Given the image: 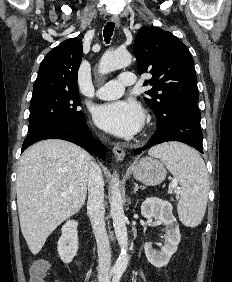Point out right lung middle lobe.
Returning <instances> with one entry per match:
<instances>
[{
	"instance_id": "right-lung-middle-lobe-1",
	"label": "right lung middle lobe",
	"mask_w": 232,
	"mask_h": 282,
	"mask_svg": "<svg viewBox=\"0 0 232 282\" xmlns=\"http://www.w3.org/2000/svg\"><path fill=\"white\" fill-rule=\"evenodd\" d=\"M80 104L78 91L43 90L33 92L30 102L28 132L37 131L62 121L84 122V114L79 110Z\"/></svg>"
}]
</instances>
